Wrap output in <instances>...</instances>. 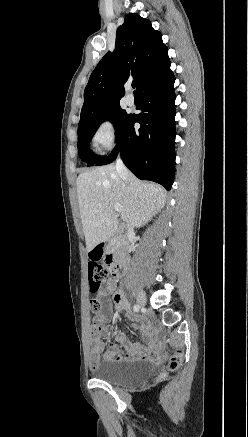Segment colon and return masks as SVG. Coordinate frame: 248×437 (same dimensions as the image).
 Segmentation results:
<instances>
[{"instance_id":"5ec220e1","label":"colon","mask_w":248,"mask_h":437,"mask_svg":"<svg viewBox=\"0 0 248 437\" xmlns=\"http://www.w3.org/2000/svg\"><path fill=\"white\" fill-rule=\"evenodd\" d=\"M98 257H93L88 264L89 272V287L91 292H97L99 290V285H102L112 275L111 260L106 258V263H99L96 259ZM90 307L94 313H99L101 309V304L97 299H92L90 301ZM182 352L180 350L169 359L168 370H176L181 362ZM165 373H162L160 377H164Z\"/></svg>"}]
</instances>
